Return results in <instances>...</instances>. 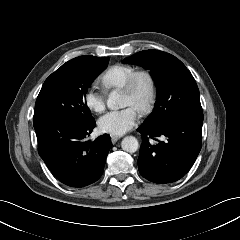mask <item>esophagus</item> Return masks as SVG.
Listing matches in <instances>:
<instances>
[{
	"mask_svg": "<svg viewBox=\"0 0 240 240\" xmlns=\"http://www.w3.org/2000/svg\"><path fill=\"white\" fill-rule=\"evenodd\" d=\"M119 139H120L119 136L111 135V141L113 144L116 143Z\"/></svg>",
	"mask_w": 240,
	"mask_h": 240,
	"instance_id": "esophagus-1",
	"label": "esophagus"
}]
</instances>
